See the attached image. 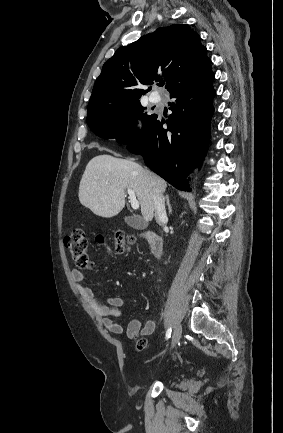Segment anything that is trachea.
<instances>
[{
	"mask_svg": "<svg viewBox=\"0 0 283 433\" xmlns=\"http://www.w3.org/2000/svg\"><path fill=\"white\" fill-rule=\"evenodd\" d=\"M163 85H164V82H160V83H159V86H160V87H163Z\"/></svg>",
	"mask_w": 283,
	"mask_h": 433,
	"instance_id": "obj_1",
	"label": "trachea"
}]
</instances>
